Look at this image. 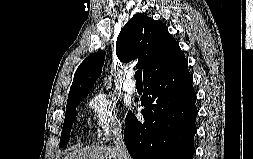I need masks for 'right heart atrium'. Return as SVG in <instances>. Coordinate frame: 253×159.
<instances>
[{
    "instance_id": "1",
    "label": "right heart atrium",
    "mask_w": 253,
    "mask_h": 159,
    "mask_svg": "<svg viewBox=\"0 0 253 159\" xmlns=\"http://www.w3.org/2000/svg\"><path fill=\"white\" fill-rule=\"evenodd\" d=\"M93 126L101 142L108 141L123 128V120L114 100L104 93L93 94L88 101Z\"/></svg>"
}]
</instances>
